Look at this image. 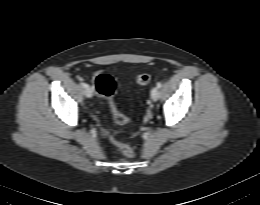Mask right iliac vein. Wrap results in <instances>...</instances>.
Instances as JSON below:
<instances>
[{
  "instance_id": "63e3f726",
  "label": "right iliac vein",
  "mask_w": 260,
  "mask_h": 205,
  "mask_svg": "<svg viewBox=\"0 0 260 205\" xmlns=\"http://www.w3.org/2000/svg\"><path fill=\"white\" fill-rule=\"evenodd\" d=\"M84 93H85V96H86L87 98H91L92 95H93V90H92V88H91L90 86H87V87L85 88Z\"/></svg>"
}]
</instances>
